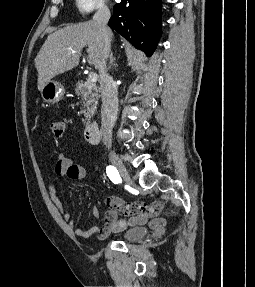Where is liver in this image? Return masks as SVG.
Segmentation results:
<instances>
[{"mask_svg":"<svg viewBox=\"0 0 255 287\" xmlns=\"http://www.w3.org/2000/svg\"><path fill=\"white\" fill-rule=\"evenodd\" d=\"M85 46L88 50V64L98 70L103 56V38L98 24L90 20L60 28L54 34H49L35 58L39 92L52 78L78 66L80 52Z\"/></svg>","mask_w":255,"mask_h":287,"instance_id":"6515ba94","label":"liver"}]
</instances>
